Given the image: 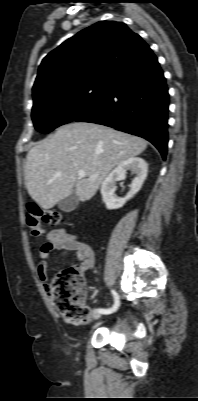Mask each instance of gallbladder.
Returning a JSON list of instances; mask_svg holds the SVG:
<instances>
[{
	"label": "gallbladder",
	"instance_id": "1",
	"mask_svg": "<svg viewBox=\"0 0 198 401\" xmlns=\"http://www.w3.org/2000/svg\"><path fill=\"white\" fill-rule=\"evenodd\" d=\"M79 203V198L75 191H73L69 196L65 197L58 203V207L63 212L73 211Z\"/></svg>",
	"mask_w": 198,
	"mask_h": 401
}]
</instances>
